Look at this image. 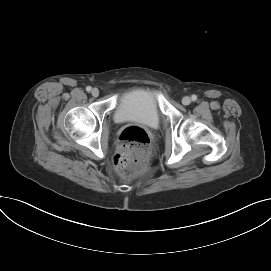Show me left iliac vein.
<instances>
[{"instance_id": "obj_1", "label": "left iliac vein", "mask_w": 271, "mask_h": 271, "mask_svg": "<svg viewBox=\"0 0 271 271\" xmlns=\"http://www.w3.org/2000/svg\"><path fill=\"white\" fill-rule=\"evenodd\" d=\"M182 103H183L184 105H189V104L191 103V98L188 97V96L183 97Z\"/></svg>"}]
</instances>
